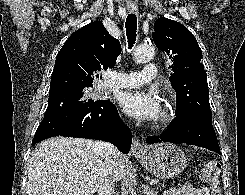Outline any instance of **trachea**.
Returning <instances> with one entry per match:
<instances>
[{
    "mask_svg": "<svg viewBox=\"0 0 245 195\" xmlns=\"http://www.w3.org/2000/svg\"><path fill=\"white\" fill-rule=\"evenodd\" d=\"M126 35L128 39L129 49H131L136 41L137 36V17L135 14H129L125 23Z\"/></svg>",
    "mask_w": 245,
    "mask_h": 195,
    "instance_id": "3493384b",
    "label": "trachea"
}]
</instances>
